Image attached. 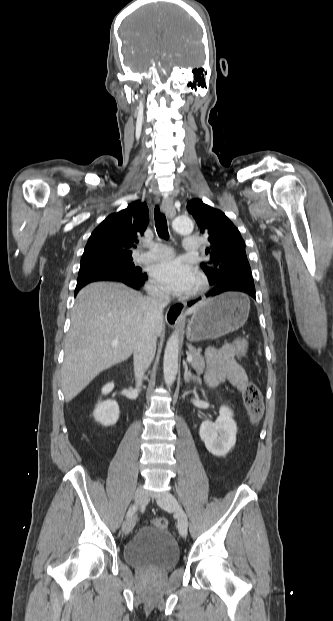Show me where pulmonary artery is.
<instances>
[{"instance_id": "pulmonary-artery-1", "label": "pulmonary artery", "mask_w": 333, "mask_h": 621, "mask_svg": "<svg viewBox=\"0 0 333 621\" xmlns=\"http://www.w3.org/2000/svg\"><path fill=\"white\" fill-rule=\"evenodd\" d=\"M200 249V240L194 236H187L184 239V250L189 253ZM172 255V250L163 244L155 243L149 246V250L139 255V262L156 261L166 259Z\"/></svg>"}]
</instances>
